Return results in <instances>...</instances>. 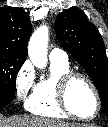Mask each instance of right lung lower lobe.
Returning a JSON list of instances; mask_svg holds the SVG:
<instances>
[{"instance_id":"right-lung-lower-lobe-1","label":"right lung lower lobe","mask_w":108,"mask_h":127,"mask_svg":"<svg viewBox=\"0 0 108 127\" xmlns=\"http://www.w3.org/2000/svg\"><path fill=\"white\" fill-rule=\"evenodd\" d=\"M13 98L14 97H11V96L0 95V108L9 104L13 100Z\"/></svg>"}]
</instances>
